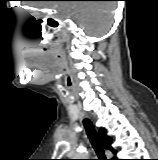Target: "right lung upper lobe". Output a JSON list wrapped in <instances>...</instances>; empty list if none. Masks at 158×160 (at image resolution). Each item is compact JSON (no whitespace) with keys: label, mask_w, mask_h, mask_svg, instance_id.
<instances>
[{"label":"right lung upper lobe","mask_w":158,"mask_h":160,"mask_svg":"<svg viewBox=\"0 0 158 160\" xmlns=\"http://www.w3.org/2000/svg\"><path fill=\"white\" fill-rule=\"evenodd\" d=\"M99 136H100V139H101L104 147L111 150L113 153H116V151L111 146V138L106 136V131L104 129L100 130ZM111 160H114V158Z\"/></svg>","instance_id":"1"}]
</instances>
